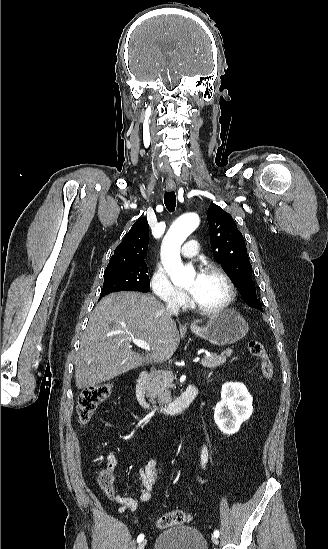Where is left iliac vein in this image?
Returning <instances> with one entry per match:
<instances>
[{
	"label": "left iliac vein",
	"instance_id": "left-iliac-vein-1",
	"mask_svg": "<svg viewBox=\"0 0 328 549\" xmlns=\"http://www.w3.org/2000/svg\"><path fill=\"white\" fill-rule=\"evenodd\" d=\"M211 540H212V542H213L215 545H217V544L219 543L218 537H216V536H213V537L211 538Z\"/></svg>",
	"mask_w": 328,
	"mask_h": 549
}]
</instances>
